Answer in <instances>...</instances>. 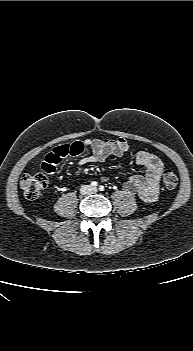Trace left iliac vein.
Instances as JSON below:
<instances>
[{"instance_id": "1", "label": "left iliac vein", "mask_w": 193, "mask_h": 351, "mask_svg": "<svg viewBox=\"0 0 193 351\" xmlns=\"http://www.w3.org/2000/svg\"><path fill=\"white\" fill-rule=\"evenodd\" d=\"M91 192H92V193L97 192V188H92V189H91Z\"/></svg>"}]
</instances>
